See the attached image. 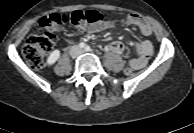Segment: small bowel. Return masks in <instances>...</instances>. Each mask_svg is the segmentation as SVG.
Returning a JSON list of instances; mask_svg holds the SVG:
<instances>
[{
	"label": "small bowel",
	"mask_w": 194,
	"mask_h": 133,
	"mask_svg": "<svg viewBox=\"0 0 194 133\" xmlns=\"http://www.w3.org/2000/svg\"><path fill=\"white\" fill-rule=\"evenodd\" d=\"M123 25L134 26L138 28L141 34L144 36H149L152 33V27L150 23L137 14L126 15L123 19ZM112 26V23L104 22L98 25L91 26L89 30L90 32H100ZM135 48L137 50L138 56L136 58H131L129 60V65L137 70L147 64L149 57L153 53V46L149 40H143L141 42H137L135 44ZM108 49L119 54L123 52V44L119 41H114L108 46Z\"/></svg>",
	"instance_id": "1"
}]
</instances>
